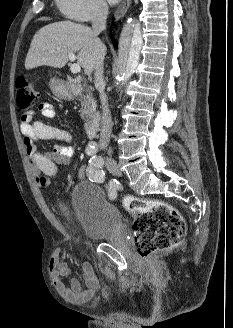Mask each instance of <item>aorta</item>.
I'll return each mask as SVG.
<instances>
[{
	"label": "aorta",
	"mask_w": 233,
	"mask_h": 328,
	"mask_svg": "<svg viewBox=\"0 0 233 328\" xmlns=\"http://www.w3.org/2000/svg\"><path fill=\"white\" fill-rule=\"evenodd\" d=\"M143 45L141 29L132 19L128 20L121 31L118 44L117 81L125 82L135 72Z\"/></svg>",
	"instance_id": "obj_1"
}]
</instances>
